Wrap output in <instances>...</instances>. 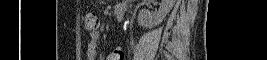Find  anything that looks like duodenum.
<instances>
[{"label": "duodenum", "instance_id": "1", "mask_svg": "<svg viewBox=\"0 0 267 60\" xmlns=\"http://www.w3.org/2000/svg\"><path fill=\"white\" fill-rule=\"evenodd\" d=\"M125 14V8L120 5L115 8V17L118 21L122 20L124 18Z\"/></svg>", "mask_w": 267, "mask_h": 60}]
</instances>
